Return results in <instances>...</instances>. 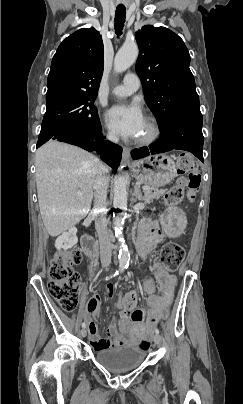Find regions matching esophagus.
I'll list each match as a JSON object with an SVG mask.
<instances>
[{"label":"esophagus","mask_w":243,"mask_h":404,"mask_svg":"<svg viewBox=\"0 0 243 404\" xmlns=\"http://www.w3.org/2000/svg\"><path fill=\"white\" fill-rule=\"evenodd\" d=\"M130 158V148L129 147H123V161L127 162Z\"/></svg>","instance_id":"1"}]
</instances>
